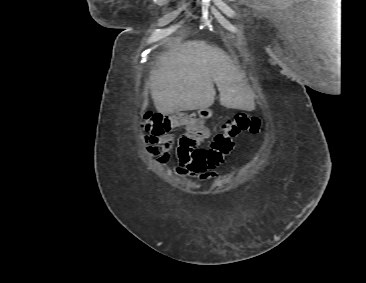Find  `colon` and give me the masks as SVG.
Here are the masks:
<instances>
[{
	"instance_id": "5ec220e1",
	"label": "colon",
	"mask_w": 366,
	"mask_h": 283,
	"mask_svg": "<svg viewBox=\"0 0 366 283\" xmlns=\"http://www.w3.org/2000/svg\"><path fill=\"white\" fill-rule=\"evenodd\" d=\"M142 128L159 136L167 134L180 127L186 133L180 136L174 148L175 156L180 165L193 172H202L215 167L221 153L227 155L235 147V138L244 133L257 134L260 132L261 121L257 116L237 113L227 118L221 125L208 148H200L202 140L209 136L208 129L201 119L188 113L163 115L157 112L146 111L142 116ZM230 153V152H229Z\"/></svg>"
}]
</instances>
